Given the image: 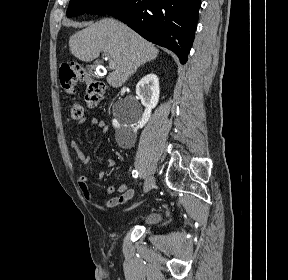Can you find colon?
Wrapping results in <instances>:
<instances>
[{
  "instance_id": "1",
  "label": "colon",
  "mask_w": 288,
  "mask_h": 280,
  "mask_svg": "<svg viewBox=\"0 0 288 280\" xmlns=\"http://www.w3.org/2000/svg\"><path fill=\"white\" fill-rule=\"evenodd\" d=\"M59 80L62 88L69 94L75 93L78 83H86L85 102L89 107H95L102 100L105 86L102 82L91 79L89 74L78 65H66L60 69ZM72 119L81 120L84 116V108L80 103H72L69 106Z\"/></svg>"
}]
</instances>
